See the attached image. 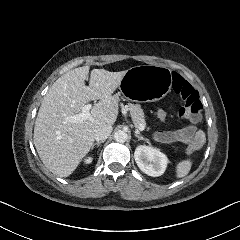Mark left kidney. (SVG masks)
Returning a JSON list of instances; mask_svg holds the SVG:
<instances>
[{
	"label": "left kidney",
	"mask_w": 240,
	"mask_h": 240,
	"mask_svg": "<svg viewBox=\"0 0 240 240\" xmlns=\"http://www.w3.org/2000/svg\"><path fill=\"white\" fill-rule=\"evenodd\" d=\"M134 159L140 170L152 177L161 176L169 163L167 156L159 149L146 145L136 147Z\"/></svg>",
	"instance_id": "5707ae66"
}]
</instances>
